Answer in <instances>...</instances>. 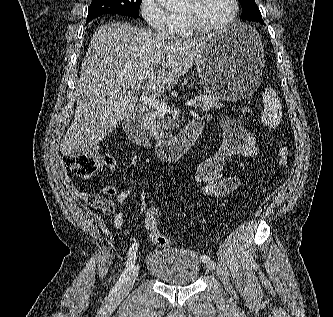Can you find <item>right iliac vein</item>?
<instances>
[{
    "label": "right iliac vein",
    "instance_id": "obj_1",
    "mask_svg": "<svg viewBox=\"0 0 333 317\" xmlns=\"http://www.w3.org/2000/svg\"><path fill=\"white\" fill-rule=\"evenodd\" d=\"M138 272H139V265H135L133 268V271L130 275V277L128 278V280L126 281V283L123 285V287L120 289V291L117 294V298L118 299H122L124 297H126L130 291L132 290L135 280L138 276Z\"/></svg>",
    "mask_w": 333,
    "mask_h": 317
}]
</instances>
